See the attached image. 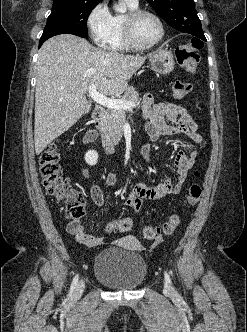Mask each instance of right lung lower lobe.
Here are the masks:
<instances>
[{
  "label": "right lung lower lobe",
  "mask_w": 247,
  "mask_h": 332,
  "mask_svg": "<svg viewBox=\"0 0 247 332\" xmlns=\"http://www.w3.org/2000/svg\"><path fill=\"white\" fill-rule=\"evenodd\" d=\"M58 34H74L80 37H86L80 32L75 31L73 28L65 25H56L45 27L44 32L39 41V47L50 37H53Z\"/></svg>",
  "instance_id": "98d812e1"
}]
</instances>
